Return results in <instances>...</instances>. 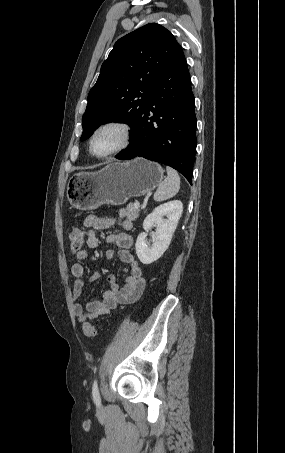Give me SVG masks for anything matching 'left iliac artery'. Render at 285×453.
<instances>
[{
    "label": "left iliac artery",
    "instance_id": "1",
    "mask_svg": "<svg viewBox=\"0 0 285 453\" xmlns=\"http://www.w3.org/2000/svg\"><path fill=\"white\" fill-rule=\"evenodd\" d=\"M92 395H93L94 402L96 403V405L99 406L100 403H101V399H100V394H99L97 380H95L94 383H93Z\"/></svg>",
    "mask_w": 285,
    "mask_h": 453
}]
</instances>
